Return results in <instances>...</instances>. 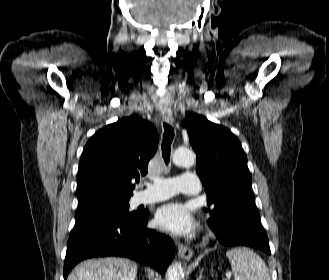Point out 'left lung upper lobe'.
I'll return each instance as SVG.
<instances>
[{
    "mask_svg": "<svg viewBox=\"0 0 329 280\" xmlns=\"http://www.w3.org/2000/svg\"><path fill=\"white\" fill-rule=\"evenodd\" d=\"M183 125L197 154L196 171L204 184L208 204H214L213 209L204 210L211 213L208 222L218 235L235 205L251 198L247 158L240 141L228 128L194 113H186Z\"/></svg>",
    "mask_w": 329,
    "mask_h": 280,
    "instance_id": "1",
    "label": "left lung upper lobe"
}]
</instances>
